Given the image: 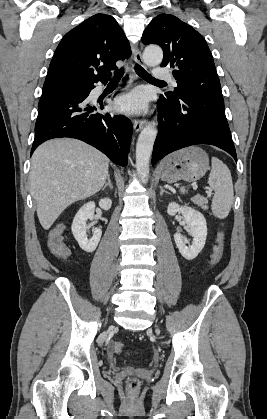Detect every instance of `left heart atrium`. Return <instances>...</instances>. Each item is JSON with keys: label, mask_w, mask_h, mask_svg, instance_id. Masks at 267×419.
I'll return each instance as SVG.
<instances>
[{"label": "left heart atrium", "mask_w": 267, "mask_h": 419, "mask_svg": "<svg viewBox=\"0 0 267 419\" xmlns=\"http://www.w3.org/2000/svg\"><path fill=\"white\" fill-rule=\"evenodd\" d=\"M117 110L126 113L139 114L148 109V94L143 89L134 90L119 97L115 101Z\"/></svg>", "instance_id": "1"}]
</instances>
